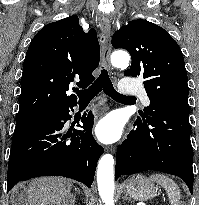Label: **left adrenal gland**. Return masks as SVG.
Returning a JSON list of instances; mask_svg holds the SVG:
<instances>
[{
  "label": "left adrenal gland",
  "mask_w": 199,
  "mask_h": 205,
  "mask_svg": "<svg viewBox=\"0 0 199 205\" xmlns=\"http://www.w3.org/2000/svg\"><path fill=\"white\" fill-rule=\"evenodd\" d=\"M124 200H128L131 202V199L127 196V194H124V197H123Z\"/></svg>",
  "instance_id": "a2214340"
}]
</instances>
